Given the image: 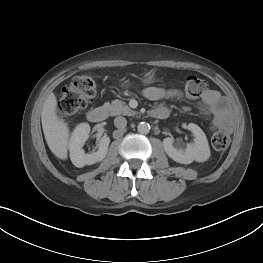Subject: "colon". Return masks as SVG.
Instances as JSON below:
<instances>
[{
    "label": "colon",
    "instance_id": "obj_1",
    "mask_svg": "<svg viewBox=\"0 0 263 263\" xmlns=\"http://www.w3.org/2000/svg\"><path fill=\"white\" fill-rule=\"evenodd\" d=\"M184 93L193 99L200 98L206 91L204 80L189 76L183 84ZM97 94V83L88 75L75 77L62 89L61 98L58 104V112L61 117L68 118L85 108ZM211 143L214 149L224 150L230 143L228 133L222 129L214 128Z\"/></svg>",
    "mask_w": 263,
    "mask_h": 263
}]
</instances>
